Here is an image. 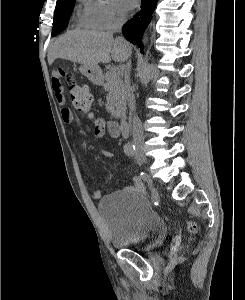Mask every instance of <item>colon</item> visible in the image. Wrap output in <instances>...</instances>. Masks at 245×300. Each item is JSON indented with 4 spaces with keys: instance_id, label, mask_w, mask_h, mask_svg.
Returning a JSON list of instances; mask_svg holds the SVG:
<instances>
[{
    "instance_id": "1",
    "label": "colon",
    "mask_w": 245,
    "mask_h": 300,
    "mask_svg": "<svg viewBox=\"0 0 245 300\" xmlns=\"http://www.w3.org/2000/svg\"><path fill=\"white\" fill-rule=\"evenodd\" d=\"M55 73L58 74L61 79H65L69 85L72 103L75 110L83 116L92 117L93 98L88 87L79 84L72 72L57 69ZM187 227L190 232L194 233L197 231V225L194 222H189Z\"/></svg>"
}]
</instances>
